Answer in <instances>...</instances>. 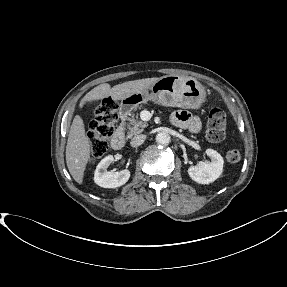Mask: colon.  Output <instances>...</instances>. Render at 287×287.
Here are the masks:
<instances>
[{
	"label": "colon",
	"instance_id": "5ec220e1",
	"mask_svg": "<svg viewBox=\"0 0 287 287\" xmlns=\"http://www.w3.org/2000/svg\"><path fill=\"white\" fill-rule=\"evenodd\" d=\"M118 103L111 97L104 99L94 108L95 119L91 123L88 133L91 162L94 163L102 158L112 139L116 123L118 121ZM226 132V118L224 112L215 106L209 115L207 124V138L212 142H220L224 139ZM242 153L239 149L233 148L226 153V159L230 164L240 162Z\"/></svg>",
	"mask_w": 287,
	"mask_h": 287
}]
</instances>
